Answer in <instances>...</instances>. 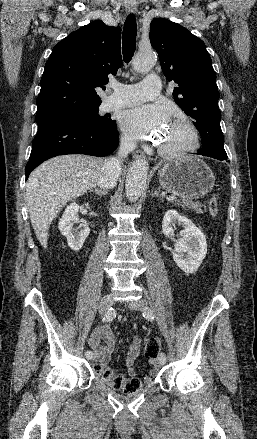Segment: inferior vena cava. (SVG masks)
<instances>
[{
	"mask_svg": "<svg viewBox=\"0 0 257 439\" xmlns=\"http://www.w3.org/2000/svg\"><path fill=\"white\" fill-rule=\"evenodd\" d=\"M136 148V141L124 137L121 139L120 149L117 157H112L104 161L99 174L97 184L103 189L113 188L121 172V159L125 158Z\"/></svg>",
	"mask_w": 257,
	"mask_h": 439,
	"instance_id": "602c4592",
	"label": "inferior vena cava"
}]
</instances>
